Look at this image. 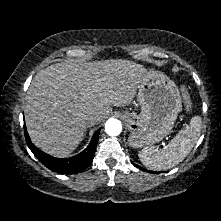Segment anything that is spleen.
<instances>
[{
    "label": "spleen",
    "mask_w": 221,
    "mask_h": 221,
    "mask_svg": "<svg viewBox=\"0 0 221 221\" xmlns=\"http://www.w3.org/2000/svg\"><path fill=\"white\" fill-rule=\"evenodd\" d=\"M202 119L192 117L190 123L163 148L144 147L138 154L140 161L149 169L166 170L182 162L196 144L201 132Z\"/></svg>",
    "instance_id": "3e777b00"
}]
</instances>
